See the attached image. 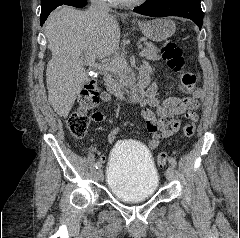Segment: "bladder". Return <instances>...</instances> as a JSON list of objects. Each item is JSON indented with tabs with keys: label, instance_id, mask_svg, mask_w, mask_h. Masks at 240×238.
Masks as SVG:
<instances>
[{
	"label": "bladder",
	"instance_id": "obj_1",
	"mask_svg": "<svg viewBox=\"0 0 240 238\" xmlns=\"http://www.w3.org/2000/svg\"><path fill=\"white\" fill-rule=\"evenodd\" d=\"M159 180L147 148L125 141L113 149L107 165V186L115 198L128 203L147 200L156 193Z\"/></svg>",
	"mask_w": 240,
	"mask_h": 238
}]
</instances>
